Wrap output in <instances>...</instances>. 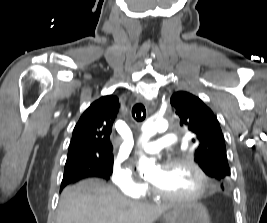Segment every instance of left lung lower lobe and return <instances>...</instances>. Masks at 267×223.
Masks as SVG:
<instances>
[{
	"mask_svg": "<svg viewBox=\"0 0 267 223\" xmlns=\"http://www.w3.org/2000/svg\"><path fill=\"white\" fill-rule=\"evenodd\" d=\"M215 190H230V185L228 182H217Z\"/></svg>",
	"mask_w": 267,
	"mask_h": 223,
	"instance_id": "obj_1",
	"label": "left lung lower lobe"
}]
</instances>
